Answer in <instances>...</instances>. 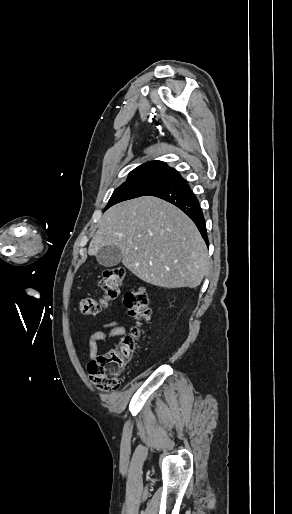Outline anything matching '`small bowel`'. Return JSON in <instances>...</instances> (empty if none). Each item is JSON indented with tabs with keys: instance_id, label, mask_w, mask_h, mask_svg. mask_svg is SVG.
<instances>
[{
	"instance_id": "1",
	"label": "small bowel",
	"mask_w": 292,
	"mask_h": 514,
	"mask_svg": "<svg viewBox=\"0 0 292 514\" xmlns=\"http://www.w3.org/2000/svg\"><path fill=\"white\" fill-rule=\"evenodd\" d=\"M127 329L122 325L121 320H112L105 323L101 329L93 332L89 336V358L94 360L98 353V344L101 341H106L115 337H125Z\"/></svg>"
}]
</instances>
